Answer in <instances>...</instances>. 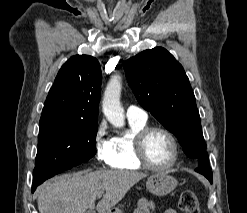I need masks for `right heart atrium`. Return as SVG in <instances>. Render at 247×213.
<instances>
[{
	"label": "right heart atrium",
	"instance_id": "obj_1",
	"mask_svg": "<svg viewBox=\"0 0 247 213\" xmlns=\"http://www.w3.org/2000/svg\"><path fill=\"white\" fill-rule=\"evenodd\" d=\"M93 145L97 160L105 165H110L113 152L111 140L107 138V125L100 122L95 130Z\"/></svg>",
	"mask_w": 247,
	"mask_h": 213
}]
</instances>
